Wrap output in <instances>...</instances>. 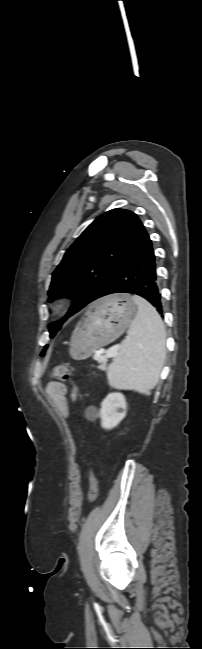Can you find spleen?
Here are the masks:
<instances>
[{
    "mask_svg": "<svg viewBox=\"0 0 202 649\" xmlns=\"http://www.w3.org/2000/svg\"><path fill=\"white\" fill-rule=\"evenodd\" d=\"M133 301L138 312L107 378L112 387L149 395L163 365L166 331L160 315L146 299L134 295Z\"/></svg>",
    "mask_w": 202,
    "mask_h": 649,
    "instance_id": "spleen-1",
    "label": "spleen"
}]
</instances>
